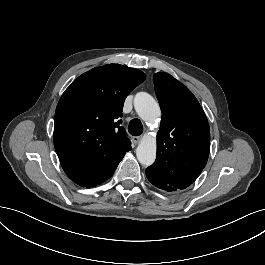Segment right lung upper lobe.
<instances>
[{"label":"right lung upper lobe","instance_id":"1","mask_svg":"<svg viewBox=\"0 0 265 265\" xmlns=\"http://www.w3.org/2000/svg\"><path fill=\"white\" fill-rule=\"evenodd\" d=\"M145 78L140 70L107 64L75 79L56 107L54 146L58 157H104L115 149L130 147L119 118L124 100Z\"/></svg>","mask_w":265,"mask_h":265}]
</instances>
